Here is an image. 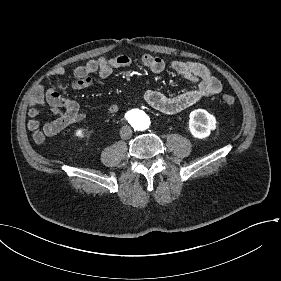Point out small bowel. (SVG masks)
Instances as JSON below:
<instances>
[{"mask_svg": "<svg viewBox=\"0 0 281 281\" xmlns=\"http://www.w3.org/2000/svg\"><path fill=\"white\" fill-rule=\"evenodd\" d=\"M140 61L154 73L171 71L184 77L193 85L190 90L176 96H166L156 89H148L144 93V100L150 107L163 114L175 115L181 113L200 100L218 94L222 90L220 80L211 73L207 66L201 63L180 60L166 62L162 58L151 54L142 55ZM132 64L133 59L128 55H118L113 58L100 57L90 60L86 64L74 68L75 80L72 87L76 90L85 89L93 84V74L105 79L115 69L128 68ZM63 74L64 69L57 67L50 72L49 79ZM45 104L50 106L51 112L56 118L45 123L41 129L37 117L39 116V107ZM106 112L116 114L119 112V106L112 103L106 107ZM28 117L27 127L33 132L35 143L41 144L45 136L53 137L67 127L81 122L85 118V114L80 110L77 101L63 97L54 87L44 89L40 86L32 97Z\"/></svg>", "mask_w": 281, "mask_h": 281, "instance_id": "c3829d8e", "label": "small bowel"}]
</instances>
